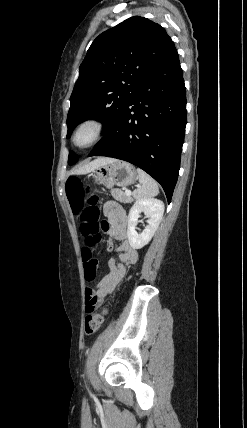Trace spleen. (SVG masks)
<instances>
[{"instance_id":"3e777b00","label":"spleen","mask_w":247,"mask_h":428,"mask_svg":"<svg viewBox=\"0 0 247 428\" xmlns=\"http://www.w3.org/2000/svg\"><path fill=\"white\" fill-rule=\"evenodd\" d=\"M140 186L133 192L135 199L151 198L159 193L158 184L142 169H137Z\"/></svg>"}]
</instances>
